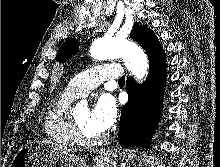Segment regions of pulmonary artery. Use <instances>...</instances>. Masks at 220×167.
Masks as SVG:
<instances>
[{"mask_svg":"<svg viewBox=\"0 0 220 167\" xmlns=\"http://www.w3.org/2000/svg\"><path fill=\"white\" fill-rule=\"evenodd\" d=\"M121 76L122 69L119 64H104L77 74L72 78L67 89L77 96H85L98 87L103 81L119 79Z\"/></svg>","mask_w":220,"mask_h":167,"instance_id":"pulmonary-artery-1","label":"pulmonary artery"}]
</instances>
